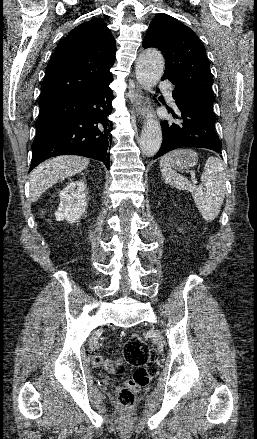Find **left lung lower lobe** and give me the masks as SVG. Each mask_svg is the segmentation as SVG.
Masks as SVG:
<instances>
[{
  "label": "left lung lower lobe",
  "instance_id": "0a47b994",
  "mask_svg": "<svg viewBox=\"0 0 257 439\" xmlns=\"http://www.w3.org/2000/svg\"><path fill=\"white\" fill-rule=\"evenodd\" d=\"M164 79L162 77V80ZM172 96L178 114L169 109L168 111L178 121L161 122L163 141L154 159L183 147L207 148L221 153L222 144L215 131L216 117L213 108L178 86H175Z\"/></svg>",
  "mask_w": 257,
  "mask_h": 439
}]
</instances>
